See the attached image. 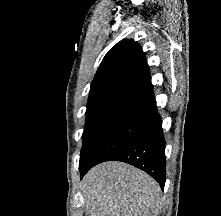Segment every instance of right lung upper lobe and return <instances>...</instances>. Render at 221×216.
Masks as SVG:
<instances>
[{"label":"right lung upper lobe","mask_w":221,"mask_h":216,"mask_svg":"<svg viewBox=\"0 0 221 216\" xmlns=\"http://www.w3.org/2000/svg\"><path fill=\"white\" fill-rule=\"evenodd\" d=\"M155 110L144 53L132 40L118 42L105 55L91 84L86 123L117 114L151 115Z\"/></svg>","instance_id":"1"}]
</instances>
